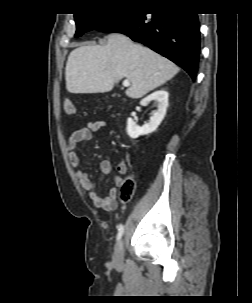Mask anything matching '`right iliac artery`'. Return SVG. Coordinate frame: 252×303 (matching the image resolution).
I'll return each mask as SVG.
<instances>
[{"label":"right iliac artery","instance_id":"1","mask_svg":"<svg viewBox=\"0 0 252 303\" xmlns=\"http://www.w3.org/2000/svg\"><path fill=\"white\" fill-rule=\"evenodd\" d=\"M124 232V226L122 224L118 225V234H117V240H119Z\"/></svg>","mask_w":252,"mask_h":303}]
</instances>
